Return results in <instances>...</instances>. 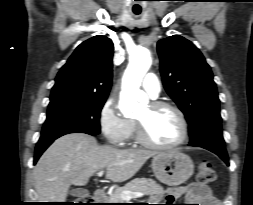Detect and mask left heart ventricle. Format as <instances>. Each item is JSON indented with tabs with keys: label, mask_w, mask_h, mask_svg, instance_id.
<instances>
[{
	"label": "left heart ventricle",
	"mask_w": 253,
	"mask_h": 205,
	"mask_svg": "<svg viewBox=\"0 0 253 205\" xmlns=\"http://www.w3.org/2000/svg\"><path fill=\"white\" fill-rule=\"evenodd\" d=\"M136 120L141 121L151 141L160 145L176 142L182 133L178 116L170 109L152 110L148 105Z\"/></svg>",
	"instance_id": "b2bd125f"
}]
</instances>
